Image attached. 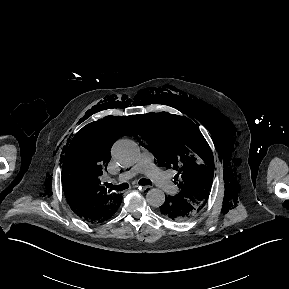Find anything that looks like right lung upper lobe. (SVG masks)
<instances>
[{
    "label": "right lung upper lobe",
    "instance_id": "cb5924a9",
    "mask_svg": "<svg viewBox=\"0 0 289 289\" xmlns=\"http://www.w3.org/2000/svg\"><path fill=\"white\" fill-rule=\"evenodd\" d=\"M129 117H107L82 128L62 157V180L71 209L84 220L94 223L121 203V195L102 187L100 176L111 159V147L129 133Z\"/></svg>",
    "mask_w": 289,
    "mask_h": 289
}]
</instances>
